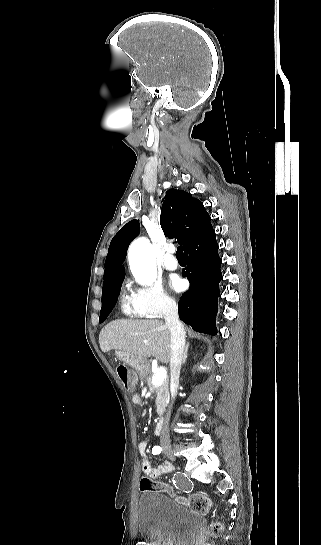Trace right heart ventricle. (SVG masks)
Returning <instances> with one entry per match:
<instances>
[{"mask_svg": "<svg viewBox=\"0 0 321 545\" xmlns=\"http://www.w3.org/2000/svg\"><path fill=\"white\" fill-rule=\"evenodd\" d=\"M121 310H122V312H123L126 316H128V317H138V316L135 314V312L133 311V308H132V306H131L129 300L126 299V298H123V299L121 300Z\"/></svg>", "mask_w": 321, "mask_h": 545, "instance_id": "1", "label": "right heart ventricle"}]
</instances>
